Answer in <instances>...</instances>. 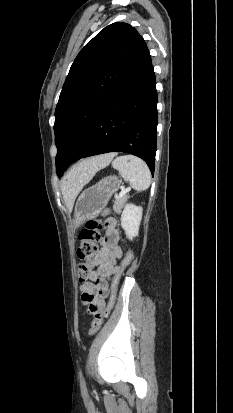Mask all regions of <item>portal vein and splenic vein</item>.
<instances>
[{
  "instance_id": "18ae733b",
  "label": "portal vein and splenic vein",
  "mask_w": 233,
  "mask_h": 413,
  "mask_svg": "<svg viewBox=\"0 0 233 413\" xmlns=\"http://www.w3.org/2000/svg\"><path fill=\"white\" fill-rule=\"evenodd\" d=\"M127 192H128V190H127V189H125V188H123V189L121 190V192H120L119 196H117V199H119V198L123 197V196H124Z\"/></svg>"
}]
</instances>
